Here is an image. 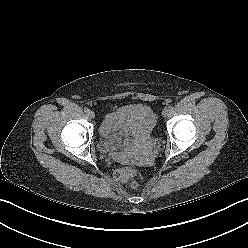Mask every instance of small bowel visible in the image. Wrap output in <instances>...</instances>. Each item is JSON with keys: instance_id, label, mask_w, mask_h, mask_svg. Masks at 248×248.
I'll return each instance as SVG.
<instances>
[{"instance_id": "c3829d8e", "label": "small bowel", "mask_w": 248, "mask_h": 248, "mask_svg": "<svg viewBox=\"0 0 248 248\" xmlns=\"http://www.w3.org/2000/svg\"><path fill=\"white\" fill-rule=\"evenodd\" d=\"M117 128H119V127H118L115 115L113 114V115L108 116V118L105 122V125H104L105 131H111V130L117 129Z\"/></svg>"}]
</instances>
